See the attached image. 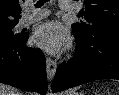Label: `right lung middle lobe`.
Returning <instances> with one entry per match:
<instances>
[{"mask_svg":"<svg viewBox=\"0 0 119 95\" xmlns=\"http://www.w3.org/2000/svg\"><path fill=\"white\" fill-rule=\"evenodd\" d=\"M15 27V25L10 26H0V39H13L18 37L20 34H14L12 29Z\"/></svg>","mask_w":119,"mask_h":95,"instance_id":"right-lung-middle-lobe-1","label":"right lung middle lobe"}]
</instances>
